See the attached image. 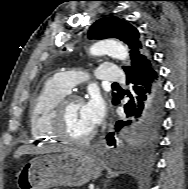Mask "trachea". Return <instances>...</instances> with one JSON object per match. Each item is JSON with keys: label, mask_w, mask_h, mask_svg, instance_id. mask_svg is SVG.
Instances as JSON below:
<instances>
[{"label": "trachea", "mask_w": 188, "mask_h": 189, "mask_svg": "<svg viewBox=\"0 0 188 189\" xmlns=\"http://www.w3.org/2000/svg\"><path fill=\"white\" fill-rule=\"evenodd\" d=\"M113 85H118V83L115 82V83H113Z\"/></svg>", "instance_id": "3493384b"}]
</instances>
